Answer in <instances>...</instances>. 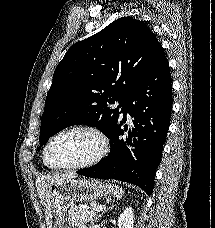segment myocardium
<instances>
[{
    "mask_svg": "<svg viewBox=\"0 0 215 228\" xmlns=\"http://www.w3.org/2000/svg\"><path fill=\"white\" fill-rule=\"evenodd\" d=\"M72 131H85V132L92 134L97 141V145H98L97 150L91 157H89L88 159H86L82 162L69 164V165H65V166H61V167L50 166L46 161V153H47L49 146L56 138L60 137L61 135L65 134V133L72 132ZM108 148H109V140H108L107 136L105 135V133L100 128H98L97 126L91 125V124H74V125H70V126H67L63 129L59 130L58 132H56L53 136H51L48 139V141L46 142V144L42 150V161H43V164L45 165V167H47L48 169H50L52 171L84 169V168L91 167V166L97 164L98 162H100L102 160V158L106 155Z\"/></svg>",
    "mask_w": 215,
    "mask_h": 228,
    "instance_id": "myocardium-1",
    "label": "myocardium"
}]
</instances>
